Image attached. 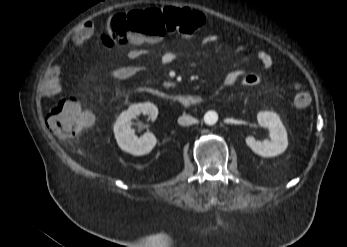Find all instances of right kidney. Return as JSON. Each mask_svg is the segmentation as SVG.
Listing matches in <instances>:
<instances>
[{"label":"right kidney","mask_w":347,"mask_h":247,"mask_svg":"<svg viewBox=\"0 0 347 247\" xmlns=\"http://www.w3.org/2000/svg\"><path fill=\"white\" fill-rule=\"evenodd\" d=\"M141 113L156 119L158 109L150 102L131 105L128 110L119 115L114 124V134L118 146L135 156L148 154L156 145V137L152 133L147 132L138 138L131 128V120Z\"/></svg>","instance_id":"obj_1"}]
</instances>
